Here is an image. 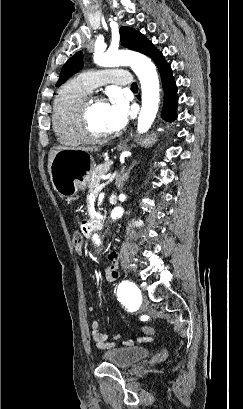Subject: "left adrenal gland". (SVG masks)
<instances>
[{
  "mask_svg": "<svg viewBox=\"0 0 243 409\" xmlns=\"http://www.w3.org/2000/svg\"><path fill=\"white\" fill-rule=\"evenodd\" d=\"M136 163V161H133L127 172H125V166L122 167L119 175L116 177V186L118 189H122L123 183L129 178L130 171Z\"/></svg>",
  "mask_w": 243,
  "mask_h": 409,
  "instance_id": "a2214340",
  "label": "left adrenal gland"
}]
</instances>
